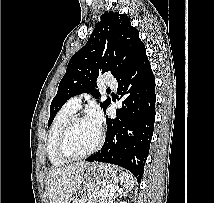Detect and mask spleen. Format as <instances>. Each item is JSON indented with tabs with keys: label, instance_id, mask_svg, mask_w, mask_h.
I'll list each match as a JSON object with an SVG mask.
<instances>
[{
	"label": "spleen",
	"instance_id": "1",
	"mask_svg": "<svg viewBox=\"0 0 214 203\" xmlns=\"http://www.w3.org/2000/svg\"><path fill=\"white\" fill-rule=\"evenodd\" d=\"M119 182H120V185L128 191L134 187L135 181L129 173L122 171L119 174Z\"/></svg>",
	"mask_w": 214,
	"mask_h": 203
}]
</instances>
